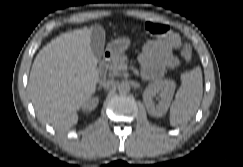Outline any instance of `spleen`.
Listing matches in <instances>:
<instances>
[{"mask_svg": "<svg viewBox=\"0 0 243 167\" xmlns=\"http://www.w3.org/2000/svg\"><path fill=\"white\" fill-rule=\"evenodd\" d=\"M182 84L170 108V124L187 123L200 106L203 95V78L198 66L181 75Z\"/></svg>", "mask_w": 243, "mask_h": 167, "instance_id": "3e777b00", "label": "spleen"}]
</instances>
